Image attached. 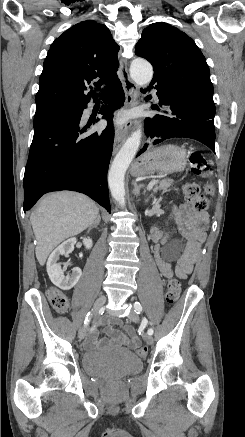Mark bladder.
<instances>
[{
  "label": "bladder",
  "mask_w": 245,
  "mask_h": 437,
  "mask_svg": "<svg viewBox=\"0 0 245 437\" xmlns=\"http://www.w3.org/2000/svg\"><path fill=\"white\" fill-rule=\"evenodd\" d=\"M85 372L95 377H124L138 373L141 359L125 349H97L82 355Z\"/></svg>",
  "instance_id": "obj_1"
}]
</instances>
